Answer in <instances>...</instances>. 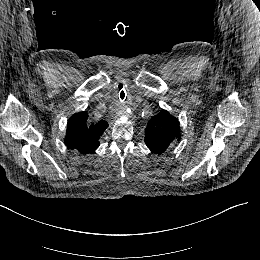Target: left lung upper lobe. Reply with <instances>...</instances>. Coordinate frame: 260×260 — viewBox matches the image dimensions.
<instances>
[{
  "label": "left lung upper lobe",
  "instance_id": "left-lung-upper-lobe-1",
  "mask_svg": "<svg viewBox=\"0 0 260 260\" xmlns=\"http://www.w3.org/2000/svg\"><path fill=\"white\" fill-rule=\"evenodd\" d=\"M180 139L178 120L166 110L152 117L145 129V143L155 154H162Z\"/></svg>",
  "mask_w": 260,
  "mask_h": 260
}]
</instances>
